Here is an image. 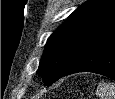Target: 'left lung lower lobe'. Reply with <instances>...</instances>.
<instances>
[{"label":"left lung lower lobe","instance_id":"left-lung-lower-lobe-1","mask_svg":"<svg viewBox=\"0 0 115 99\" xmlns=\"http://www.w3.org/2000/svg\"><path fill=\"white\" fill-rule=\"evenodd\" d=\"M93 72L115 80V28L93 43L62 75Z\"/></svg>","mask_w":115,"mask_h":99}]
</instances>
